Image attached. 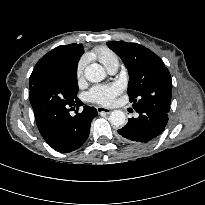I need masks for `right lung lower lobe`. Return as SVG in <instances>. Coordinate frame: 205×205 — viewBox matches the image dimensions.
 Returning <instances> with one entry per match:
<instances>
[{
  "label": "right lung lower lobe",
  "instance_id": "right-lung-lower-lobe-1",
  "mask_svg": "<svg viewBox=\"0 0 205 205\" xmlns=\"http://www.w3.org/2000/svg\"><path fill=\"white\" fill-rule=\"evenodd\" d=\"M77 92L67 73L50 75L30 88L37 127L58 152L68 153L81 147L88 138L91 121L98 114L88 106L81 113L76 111L75 116L69 114L75 106L83 105Z\"/></svg>",
  "mask_w": 205,
  "mask_h": 205
}]
</instances>
